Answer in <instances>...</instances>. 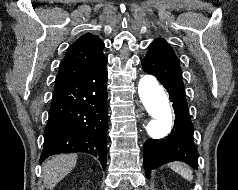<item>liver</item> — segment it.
<instances>
[{
  "label": "liver",
  "instance_id": "6515ba94",
  "mask_svg": "<svg viewBox=\"0 0 238 190\" xmlns=\"http://www.w3.org/2000/svg\"><path fill=\"white\" fill-rule=\"evenodd\" d=\"M77 163L76 154L52 156L43 163L44 184L52 190L58 182L68 175Z\"/></svg>",
  "mask_w": 238,
  "mask_h": 190
}]
</instances>
